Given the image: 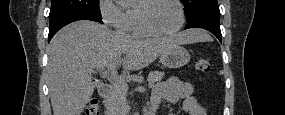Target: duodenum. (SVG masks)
<instances>
[{"label": "duodenum", "mask_w": 285, "mask_h": 115, "mask_svg": "<svg viewBox=\"0 0 285 115\" xmlns=\"http://www.w3.org/2000/svg\"><path fill=\"white\" fill-rule=\"evenodd\" d=\"M110 90H111V87L109 84H102L100 87H99V95L101 97H107L110 93ZM150 110H152L151 107H149Z\"/></svg>", "instance_id": "obj_1"}]
</instances>
